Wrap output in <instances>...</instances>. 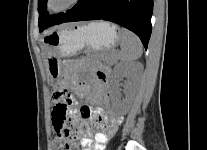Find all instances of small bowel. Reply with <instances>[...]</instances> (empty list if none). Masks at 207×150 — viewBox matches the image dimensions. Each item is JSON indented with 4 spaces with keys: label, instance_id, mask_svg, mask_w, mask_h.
Segmentation results:
<instances>
[{
    "label": "small bowel",
    "instance_id": "1",
    "mask_svg": "<svg viewBox=\"0 0 207 150\" xmlns=\"http://www.w3.org/2000/svg\"><path fill=\"white\" fill-rule=\"evenodd\" d=\"M71 90L79 97H84L87 104L80 109V122L74 121L78 133H82L91 122L94 127L88 129L87 137L82 141V150H103L106 142L115 134L122 121V116L107 113L102 106L109 102L110 69L89 59H81L67 67ZM82 72L84 79L75 74ZM77 113L73 108L71 118L75 120ZM54 125V123H53ZM94 139H91V136Z\"/></svg>",
    "mask_w": 207,
    "mask_h": 150
}]
</instances>
